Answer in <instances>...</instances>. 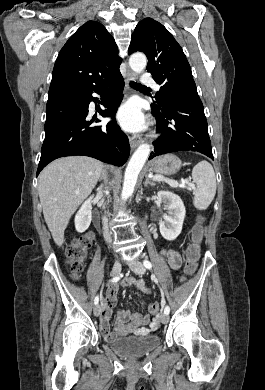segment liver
Wrapping results in <instances>:
<instances>
[{
    "label": "liver",
    "mask_w": 265,
    "mask_h": 390,
    "mask_svg": "<svg viewBox=\"0 0 265 390\" xmlns=\"http://www.w3.org/2000/svg\"><path fill=\"white\" fill-rule=\"evenodd\" d=\"M103 163L86 156L60 158L39 175V197L46 224L57 246L64 243V231L71 216L96 186Z\"/></svg>",
    "instance_id": "1"
}]
</instances>
